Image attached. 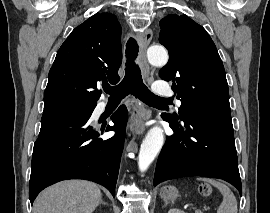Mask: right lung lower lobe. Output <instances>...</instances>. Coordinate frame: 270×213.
<instances>
[{
	"label": "right lung lower lobe",
	"instance_id": "98d812e1",
	"mask_svg": "<svg viewBox=\"0 0 270 213\" xmlns=\"http://www.w3.org/2000/svg\"><path fill=\"white\" fill-rule=\"evenodd\" d=\"M92 112L42 115L32 155L31 203L47 186L68 179L96 182L109 189L115 197L128 112L124 105L121 106L111 116L114 126L105 123L101 132L90 123ZM108 131H116V134L105 140L99 138L100 134Z\"/></svg>",
	"mask_w": 270,
	"mask_h": 213
}]
</instances>
